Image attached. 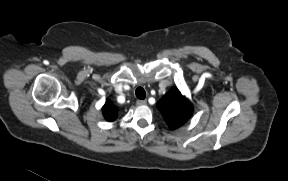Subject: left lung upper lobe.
Here are the masks:
<instances>
[{
  "label": "left lung upper lobe",
  "mask_w": 288,
  "mask_h": 181,
  "mask_svg": "<svg viewBox=\"0 0 288 181\" xmlns=\"http://www.w3.org/2000/svg\"><path fill=\"white\" fill-rule=\"evenodd\" d=\"M158 108L171 129L182 126L193 112L190 102L177 88L163 96L158 102Z\"/></svg>",
  "instance_id": "left-lung-upper-lobe-1"
}]
</instances>
